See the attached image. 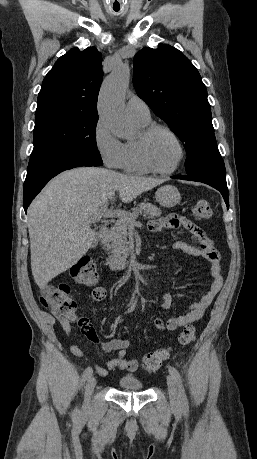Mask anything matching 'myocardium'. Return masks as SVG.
Masks as SVG:
<instances>
[{"mask_svg":"<svg viewBox=\"0 0 257 459\" xmlns=\"http://www.w3.org/2000/svg\"><path fill=\"white\" fill-rule=\"evenodd\" d=\"M158 131L166 132L170 135L173 140L176 142L179 148V158L176 161L175 165L170 169H160L156 167L149 158L148 155V142L150 138ZM136 146L138 155L140 158L141 163L151 172L161 174V175H169L174 173L178 168L181 166L182 162L186 156L185 147L179 138V136L169 127L162 125V124H149L146 127L142 128L140 134L136 140Z\"/></svg>","mask_w":257,"mask_h":459,"instance_id":"obj_1","label":"myocardium"}]
</instances>
